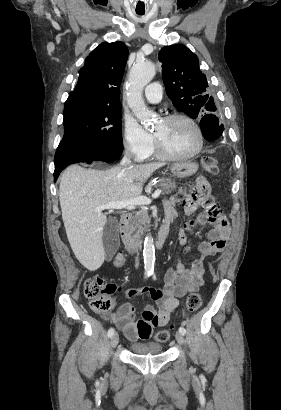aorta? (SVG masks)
I'll list each match as a JSON object with an SVG mask.
<instances>
[{
  "label": "aorta",
  "mask_w": 281,
  "mask_h": 410,
  "mask_svg": "<svg viewBox=\"0 0 281 410\" xmlns=\"http://www.w3.org/2000/svg\"><path fill=\"white\" fill-rule=\"evenodd\" d=\"M156 74L155 65L151 62L136 63L129 74V88L127 93V103L134 115L140 122L147 126L151 123L153 115L147 109L142 97L144 87L153 79ZM144 268L147 274L154 272L155 246L151 235H147L143 248Z\"/></svg>",
  "instance_id": "obj_1"
}]
</instances>
